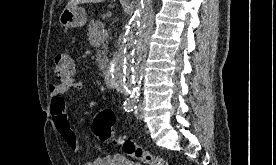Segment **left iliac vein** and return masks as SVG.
I'll return each mask as SVG.
<instances>
[{"mask_svg":"<svg viewBox=\"0 0 276 165\" xmlns=\"http://www.w3.org/2000/svg\"><path fill=\"white\" fill-rule=\"evenodd\" d=\"M135 117L139 120L143 118V110L141 106L135 111Z\"/></svg>","mask_w":276,"mask_h":165,"instance_id":"4c4485c4","label":"left iliac vein"}]
</instances>
